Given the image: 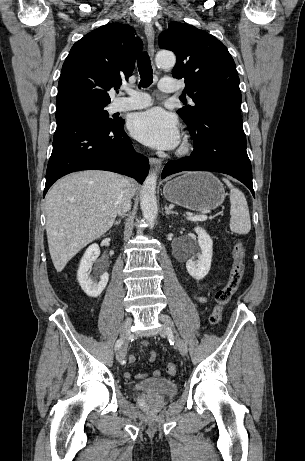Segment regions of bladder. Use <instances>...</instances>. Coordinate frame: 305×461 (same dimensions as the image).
Wrapping results in <instances>:
<instances>
[{"label": "bladder", "mask_w": 305, "mask_h": 461, "mask_svg": "<svg viewBox=\"0 0 305 461\" xmlns=\"http://www.w3.org/2000/svg\"><path fill=\"white\" fill-rule=\"evenodd\" d=\"M134 389L141 394L172 396L178 392V386L172 379L153 378L138 382Z\"/></svg>", "instance_id": "obj_1"}]
</instances>
